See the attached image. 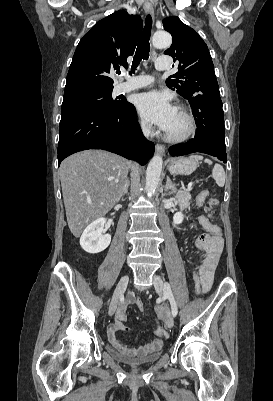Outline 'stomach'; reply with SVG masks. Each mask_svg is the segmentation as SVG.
<instances>
[{"instance_id": "0dacf381", "label": "stomach", "mask_w": 273, "mask_h": 401, "mask_svg": "<svg viewBox=\"0 0 273 401\" xmlns=\"http://www.w3.org/2000/svg\"><path fill=\"white\" fill-rule=\"evenodd\" d=\"M168 162L169 170L173 172V174H191L198 166L197 160H194V158H186V156L174 158V160H168Z\"/></svg>"}]
</instances>
